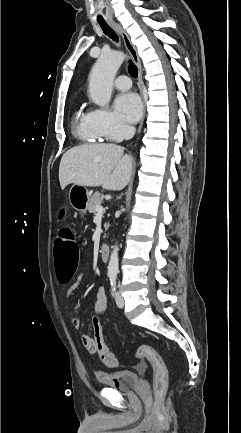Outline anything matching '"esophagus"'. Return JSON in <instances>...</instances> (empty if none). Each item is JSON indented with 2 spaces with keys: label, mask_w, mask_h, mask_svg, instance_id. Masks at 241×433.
Masks as SVG:
<instances>
[{
  "label": "esophagus",
  "mask_w": 241,
  "mask_h": 433,
  "mask_svg": "<svg viewBox=\"0 0 241 433\" xmlns=\"http://www.w3.org/2000/svg\"><path fill=\"white\" fill-rule=\"evenodd\" d=\"M111 25L121 35V37H122V39L124 41V44L126 46V49L130 53L131 57L133 58L136 66L138 68V84H139L140 92H141L142 99H143L144 114H145V99H144V96H143L144 83H143V78H142V65H141V60L139 58L137 49H136L135 45L132 43L129 35L125 31V29H123L121 27V25H119L116 22H111ZM143 121H144V115H143V118H142V120L140 122V125H139V128H138V133L141 131V128H142V125H143Z\"/></svg>",
  "instance_id": "1"
}]
</instances>
